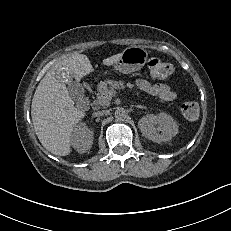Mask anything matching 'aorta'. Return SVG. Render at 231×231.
I'll return each mask as SVG.
<instances>
[{
  "instance_id": "762f6f07",
  "label": "aorta",
  "mask_w": 231,
  "mask_h": 231,
  "mask_svg": "<svg viewBox=\"0 0 231 231\" xmlns=\"http://www.w3.org/2000/svg\"><path fill=\"white\" fill-rule=\"evenodd\" d=\"M114 116L117 120H124L127 117V111L122 107H118L115 110Z\"/></svg>"
}]
</instances>
